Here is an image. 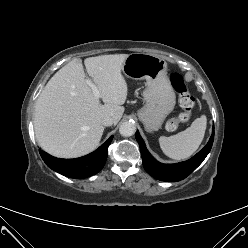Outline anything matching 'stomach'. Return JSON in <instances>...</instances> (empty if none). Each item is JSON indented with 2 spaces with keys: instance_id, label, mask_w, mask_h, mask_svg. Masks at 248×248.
Here are the masks:
<instances>
[{
  "instance_id": "obj_1",
  "label": "stomach",
  "mask_w": 248,
  "mask_h": 248,
  "mask_svg": "<svg viewBox=\"0 0 248 248\" xmlns=\"http://www.w3.org/2000/svg\"><path fill=\"white\" fill-rule=\"evenodd\" d=\"M122 71L129 78L146 80L145 105L138 111V117L146 131H157L175 106L167 63L157 55L133 53L126 58Z\"/></svg>"
}]
</instances>
